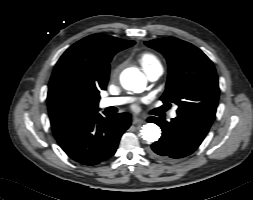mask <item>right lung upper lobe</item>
I'll return each mask as SVG.
<instances>
[{"label": "right lung upper lobe", "mask_w": 253, "mask_h": 200, "mask_svg": "<svg viewBox=\"0 0 253 200\" xmlns=\"http://www.w3.org/2000/svg\"><path fill=\"white\" fill-rule=\"evenodd\" d=\"M135 42L93 34L68 48L57 62L48 88L51 125L98 112L100 90L109 78V62L119 51Z\"/></svg>", "instance_id": "cb5924a9"}]
</instances>
